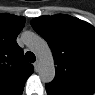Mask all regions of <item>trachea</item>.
Masks as SVG:
<instances>
[{
	"mask_svg": "<svg viewBox=\"0 0 95 95\" xmlns=\"http://www.w3.org/2000/svg\"><path fill=\"white\" fill-rule=\"evenodd\" d=\"M25 60H27L30 63H34L36 60V57L32 52L28 51L25 54Z\"/></svg>",
	"mask_w": 95,
	"mask_h": 95,
	"instance_id": "3493384b",
	"label": "trachea"
}]
</instances>
